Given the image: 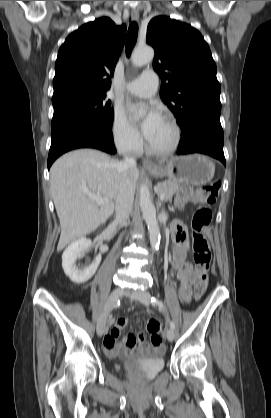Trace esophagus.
Instances as JSON below:
<instances>
[{"instance_id": "esophagus-1", "label": "esophagus", "mask_w": 271, "mask_h": 418, "mask_svg": "<svg viewBox=\"0 0 271 418\" xmlns=\"http://www.w3.org/2000/svg\"><path fill=\"white\" fill-rule=\"evenodd\" d=\"M131 18H132V20H134V21H138V19H139V12H138V10H137V9H133V10L131 11ZM143 165H144V166H146V167H152V166H154L153 162H151V161H150V160H148V159H144V160H143Z\"/></svg>"}]
</instances>
